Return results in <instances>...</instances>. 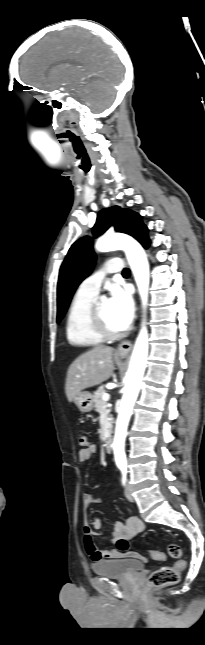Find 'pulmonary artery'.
Segmentation results:
<instances>
[{
  "mask_svg": "<svg viewBox=\"0 0 205 645\" xmlns=\"http://www.w3.org/2000/svg\"><path fill=\"white\" fill-rule=\"evenodd\" d=\"M123 270V262L119 258L108 260L104 267L86 278L79 286V291L87 294L97 295L100 286L107 274L116 273Z\"/></svg>",
  "mask_w": 205,
  "mask_h": 645,
  "instance_id": "1",
  "label": "pulmonary artery"
}]
</instances>
